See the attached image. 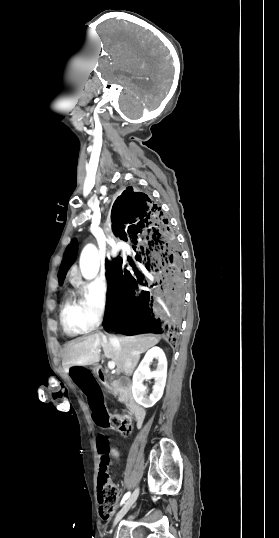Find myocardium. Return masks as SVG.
<instances>
[{
    "instance_id": "obj_1",
    "label": "myocardium",
    "mask_w": 279,
    "mask_h": 538,
    "mask_svg": "<svg viewBox=\"0 0 279 538\" xmlns=\"http://www.w3.org/2000/svg\"><path fill=\"white\" fill-rule=\"evenodd\" d=\"M70 208H72V207H70ZM99 222H100V216L97 215V218L94 219V222H93L90 226H91L92 228H95V227L99 224ZM134 238H135V237H134L133 234H132V235H128V236H127V241H128V243H132V241L134 240Z\"/></svg>"
}]
</instances>
